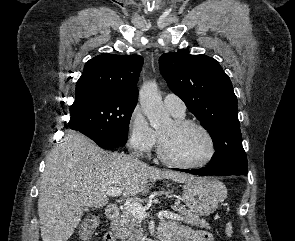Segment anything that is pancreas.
<instances>
[{
	"label": "pancreas",
	"mask_w": 295,
	"mask_h": 241,
	"mask_svg": "<svg viewBox=\"0 0 295 241\" xmlns=\"http://www.w3.org/2000/svg\"><path fill=\"white\" fill-rule=\"evenodd\" d=\"M175 209L183 215V222L192 226L210 229L209 224L200 219L199 216L186 209L180 202H176ZM112 231L121 239V241H141L143 238V229L141 228V219L136 218L126 209L118 220L111 223Z\"/></svg>",
	"instance_id": "obj_1"
}]
</instances>
